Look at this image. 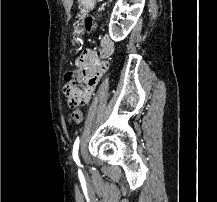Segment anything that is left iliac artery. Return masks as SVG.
<instances>
[{
	"label": "left iliac artery",
	"mask_w": 217,
	"mask_h": 202,
	"mask_svg": "<svg viewBox=\"0 0 217 202\" xmlns=\"http://www.w3.org/2000/svg\"><path fill=\"white\" fill-rule=\"evenodd\" d=\"M79 138H77L74 142V145H73V152H72V156H73V159L74 161L79 165L80 164V160H79V157H78V149H79Z\"/></svg>",
	"instance_id": "obj_1"
}]
</instances>
